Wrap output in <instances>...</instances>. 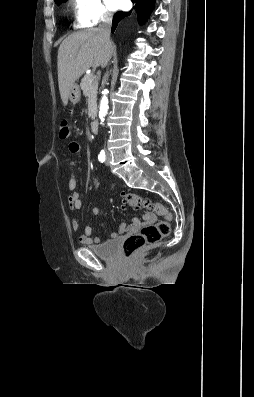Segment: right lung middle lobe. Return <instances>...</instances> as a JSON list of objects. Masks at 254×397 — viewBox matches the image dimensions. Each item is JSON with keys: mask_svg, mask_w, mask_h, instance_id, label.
<instances>
[{"mask_svg": "<svg viewBox=\"0 0 254 397\" xmlns=\"http://www.w3.org/2000/svg\"><path fill=\"white\" fill-rule=\"evenodd\" d=\"M65 1H67V0H56L55 3H56L57 5H60L62 2H65Z\"/></svg>", "mask_w": 254, "mask_h": 397, "instance_id": "1", "label": "right lung middle lobe"}]
</instances>
